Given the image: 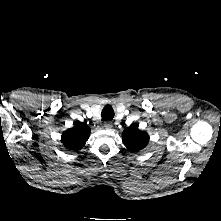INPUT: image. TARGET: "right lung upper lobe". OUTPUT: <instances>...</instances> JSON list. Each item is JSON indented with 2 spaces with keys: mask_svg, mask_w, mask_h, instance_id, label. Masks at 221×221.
<instances>
[{
  "mask_svg": "<svg viewBox=\"0 0 221 221\" xmlns=\"http://www.w3.org/2000/svg\"><path fill=\"white\" fill-rule=\"evenodd\" d=\"M90 132L91 129L85 123L77 122L63 133L62 143L71 150H79L88 140Z\"/></svg>",
  "mask_w": 221,
  "mask_h": 221,
  "instance_id": "cb5924a9",
  "label": "right lung upper lobe"
}]
</instances>
